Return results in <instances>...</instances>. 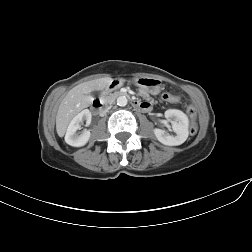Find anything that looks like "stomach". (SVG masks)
Instances as JSON below:
<instances>
[{
    "label": "stomach",
    "instance_id": "0dacf381",
    "mask_svg": "<svg viewBox=\"0 0 252 252\" xmlns=\"http://www.w3.org/2000/svg\"><path fill=\"white\" fill-rule=\"evenodd\" d=\"M134 83L152 95H157L162 87L161 81L154 77H138L134 79Z\"/></svg>",
    "mask_w": 252,
    "mask_h": 252
}]
</instances>
